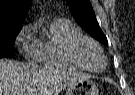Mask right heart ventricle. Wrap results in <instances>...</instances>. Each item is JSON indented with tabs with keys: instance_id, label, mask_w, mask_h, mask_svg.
<instances>
[{
	"instance_id": "1",
	"label": "right heart ventricle",
	"mask_w": 135,
	"mask_h": 95,
	"mask_svg": "<svg viewBox=\"0 0 135 95\" xmlns=\"http://www.w3.org/2000/svg\"><path fill=\"white\" fill-rule=\"evenodd\" d=\"M81 35L80 30L69 20H52L43 28L41 39H37L39 63L54 69H82L68 55L70 41Z\"/></svg>"
}]
</instances>
